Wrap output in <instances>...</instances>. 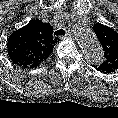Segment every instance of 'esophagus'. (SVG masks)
<instances>
[{
	"label": "esophagus",
	"mask_w": 118,
	"mask_h": 118,
	"mask_svg": "<svg viewBox=\"0 0 118 118\" xmlns=\"http://www.w3.org/2000/svg\"><path fill=\"white\" fill-rule=\"evenodd\" d=\"M71 36H72V34H71V33H67L65 37H62V36H61L60 38H61V39H63V38H68V37H71Z\"/></svg>",
	"instance_id": "obj_1"
}]
</instances>
